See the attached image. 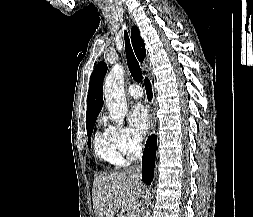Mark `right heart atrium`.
I'll return each instance as SVG.
<instances>
[{
    "mask_svg": "<svg viewBox=\"0 0 253 217\" xmlns=\"http://www.w3.org/2000/svg\"><path fill=\"white\" fill-rule=\"evenodd\" d=\"M106 130L127 159L135 158L141 151L142 139L132 129L119 124H108Z\"/></svg>",
    "mask_w": 253,
    "mask_h": 217,
    "instance_id": "d8ad5b80",
    "label": "right heart atrium"
}]
</instances>
